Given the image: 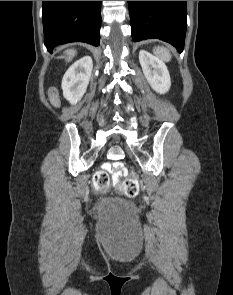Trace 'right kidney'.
I'll return each mask as SVG.
<instances>
[{"label": "right kidney", "mask_w": 233, "mask_h": 295, "mask_svg": "<svg viewBox=\"0 0 233 295\" xmlns=\"http://www.w3.org/2000/svg\"><path fill=\"white\" fill-rule=\"evenodd\" d=\"M93 61L85 56L72 64L62 79L63 96L71 104L81 100L86 92L91 77Z\"/></svg>", "instance_id": "ca27d5eb"}]
</instances>
